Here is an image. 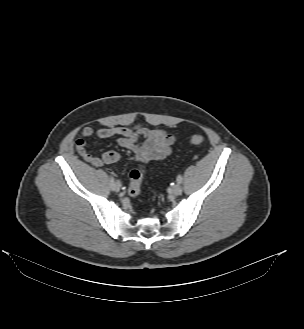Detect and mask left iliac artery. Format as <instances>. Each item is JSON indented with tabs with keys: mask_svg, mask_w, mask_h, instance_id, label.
Wrapping results in <instances>:
<instances>
[{
	"mask_svg": "<svg viewBox=\"0 0 304 329\" xmlns=\"http://www.w3.org/2000/svg\"><path fill=\"white\" fill-rule=\"evenodd\" d=\"M176 180H177V182H178L179 184L182 183V176H181V174H179V175L177 176Z\"/></svg>",
	"mask_w": 304,
	"mask_h": 329,
	"instance_id": "obj_1",
	"label": "left iliac artery"
}]
</instances>
